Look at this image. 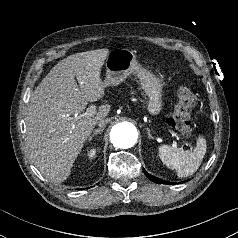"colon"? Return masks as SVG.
<instances>
[{
    "label": "colon",
    "instance_id": "colon-1",
    "mask_svg": "<svg viewBox=\"0 0 238 238\" xmlns=\"http://www.w3.org/2000/svg\"><path fill=\"white\" fill-rule=\"evenodd\" d=\"M195 104V94L187 87H180L174 110L168 118V124L183 136H189L193 131L191 112Z\"/></svg>",
    "mask_w": 238,
    "mask_h": 238
}]
</instances>
